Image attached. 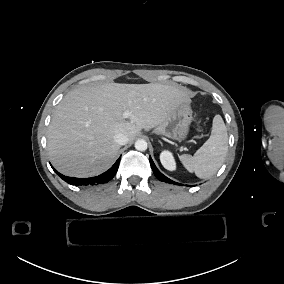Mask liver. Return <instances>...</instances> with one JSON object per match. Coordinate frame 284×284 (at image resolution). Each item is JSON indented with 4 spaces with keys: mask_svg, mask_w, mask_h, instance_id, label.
Masks as SVG:
<instances>
[{
    "mask_svg": "<svg viewBox=\"0 0 284 284\" xmlns=\"http://www.w3.org/2000/svg\"><path fill=\"white\" fill-rule=\"evenodd\" d=\"M190 103L183 88L159 83L79 87L61 100L52 116L51 161L66 175H97L112 165L121 147L114 141L115 134L123 133L133 141L142 129L158 126Z\"/></svg>",
    "mask_w": 284,
    "mask_h": 284,
    "instance_id": "obj_1",
    "label": "liver"
}]
</instances>
